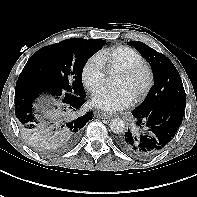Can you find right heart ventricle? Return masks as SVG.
Masks as SVG:
<instances>
[{
	"label": "right heart ventricle",
	"mask_w": 197,
	"mask_h": 197,
	"mask_svg": "<svg viewBox=\"0 0 197 197\" xmlns=\"http://www.w3.org/2000/svg\"><path fill=\"white\" fill-rule=\"evenodd\" d=\"M98 56L109 71H121L144 62L143 56L129 46L104 49Z\"/></svg>",
	"instance_id": "right-heart-ventricle-1"
}]
</instances>
